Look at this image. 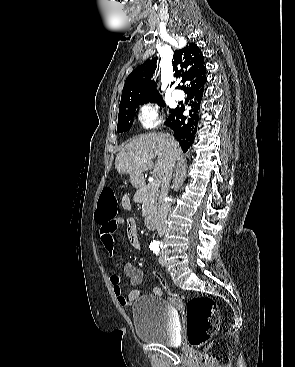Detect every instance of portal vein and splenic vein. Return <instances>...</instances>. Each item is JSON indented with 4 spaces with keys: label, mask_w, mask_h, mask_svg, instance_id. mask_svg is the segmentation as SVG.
Masks as SVG:
<instances>
[{
    "label": "portal vein and splenic vein",
    "mask_w": 295,
    "mask_h": 367,
    "mask_svg": "<svg viewBox=\"0 0 295 367\" xmlns=\"http://www.w3.org/2000/svg\"><path fill=\"white\" fill-rule=\"evenodd\" d=\"M152 184H153V186H154V187L158 188V187H159V185H160V180L156 179V180H154V181L152 182Z\"/></svg>",
    "instance_id": "1"
}]
</instances>
